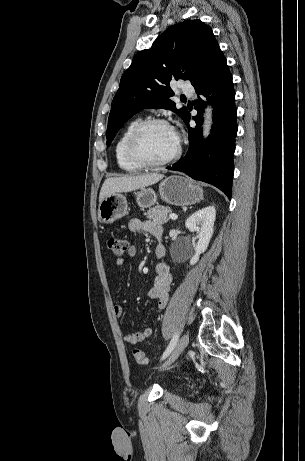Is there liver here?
<instances>
[{"mask_svg": "<svg viewBox=\"0 0 305 461\" xmlns=\"http://www.w3.org/2000/svg\"><path fill=\"white\" fill-rule=\"evenodd\" d=\"M164 175L158 173L143 174L138 176H123L108 178L104 181L99 194V202L111 194L130 192L153 185L163 179Z\"/></svg>", "mask_w": 305, "mask_h": 461, "instance_id": "liver-1", "label": "liver"}]
</instances>
